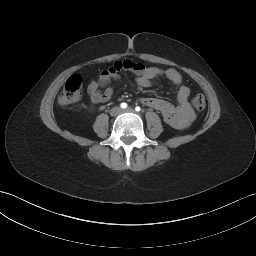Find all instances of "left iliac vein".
<instances>
[{
	"instance_id": "4c4485c4",
	"label": "left iliac vein",
	"mask_w": 256,
	"mask_h": 256,
	"mask_svg": "<svg viewBox=\"0 0 256 256\" xmlns=\"http://www.w3.org/2000/svg\"><path fill=\"white\" fill-rule=\"evenodd\" d=\"M123 112H134V109L129 107V108L123 110Z\"/></svg>"
}]
</instances>
